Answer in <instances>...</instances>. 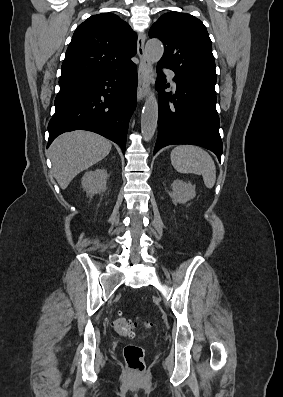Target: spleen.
<instances>
[{
    "label": "spleen",
    "mask_w": 283,
    "mask_h": 397,
    "mask_svg": "<svg viewBox=\"0 0 283 397\" xmlns=\"http://www.w3.org/2000/svg\"><path fill=\"white\" fill-rule=\"evenodd\" d=\"M172 166L180 173L203 176L204 184L211 189L216 181V166L212 157L202 148L193 145L176 146L171 152Z\"/></svg>",
    "instance_id": "3e777b00"
}]
</instances>
